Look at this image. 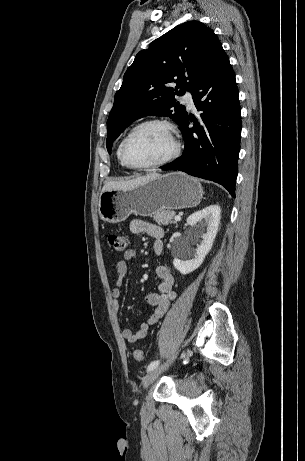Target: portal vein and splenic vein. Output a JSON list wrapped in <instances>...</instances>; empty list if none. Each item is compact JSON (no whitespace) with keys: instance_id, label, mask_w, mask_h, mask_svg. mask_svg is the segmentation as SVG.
<instances>
[{"instance_id":"obj_1","label":"portal vein and splenic vein","mask_w":305,"mask_h":461,"mask_svg":"<svg viewBox=\"0 0 305 461\" xmlns=\"http://www.w3.org/2000/svg\"><path fill=\"white\" fill-rule=\"evenodd\" d=\"M181 217L179 215L175 216V221H180Z\"/></svg>"}]
</instances>
